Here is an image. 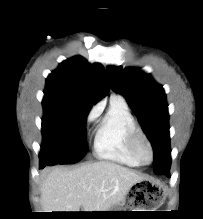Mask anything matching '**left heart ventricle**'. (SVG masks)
Returning <instances> with one entry per match:
<instances>
[{
	"label": "left heart ventricle",
	"instance_id": "obj_1",
	"mask_svg": "<svg viewBox=\"0 0 203 219\" xmlns=\"http://www.w3.org/2000/svg\"><path fill=\"white\" fill-rule=\"evenodd\" d=\"M139 151H140V154H141L142 158L145 161L150 160V152H149V149H148V147L146 146V144L144 142H140Z\"/></svg>",
	"mask_w": 203,
	"mask_h": 219
}]
</instances>
